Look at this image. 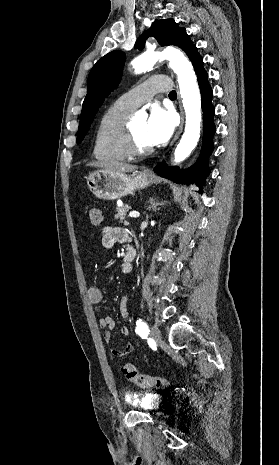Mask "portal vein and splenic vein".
<instances>
[{
	"instance_id": "obj_1",
	"label": "portal vein and splenic vein",
	"mask_w": 279,
	"mask_h": 465,
	"mask_svg": "<svg viewBox=\"0 0 279 465\" xmlns=\"http://www.w3.org/2000/svg\"><path fill=\"white\" fill-rule=\"evenodd\" d=\"M140 216L139 212L137 211H132L129 213V217L131 218H138Z\"/></svg>"
}]
</instances>
